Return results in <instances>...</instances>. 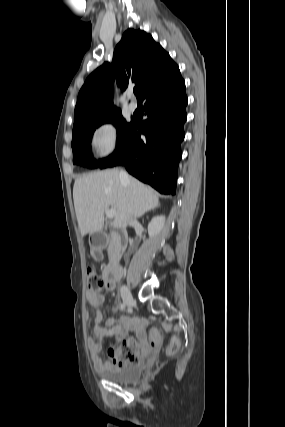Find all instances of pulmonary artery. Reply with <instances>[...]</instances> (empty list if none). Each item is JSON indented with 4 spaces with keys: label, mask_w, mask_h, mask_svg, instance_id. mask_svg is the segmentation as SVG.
Masks as SVG:
<instances>
[{
    "label": "pulmonary artery",
    "mask_w": 285,
    "mask_h": 427,
    "mask_svg": "<svg viewBox=\"0 0 285 427\" xmlns=\"http://www.w3.org/2000/svg\"><path fill=\"white\" fill-rule=\"evenodd\" d=\"M136 109H137V104H136V102L131 101V102L129 103V105H128V110H129L130 112H134V111H136Z\"/></svg>",
    "instance_id": "1"
}]
</instances>
